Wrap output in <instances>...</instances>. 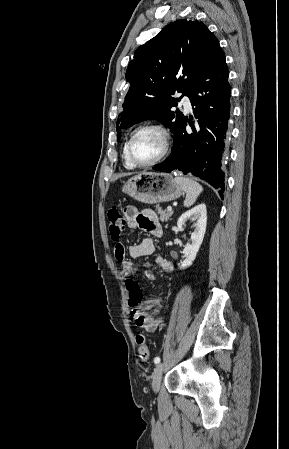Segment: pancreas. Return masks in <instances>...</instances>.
I'll return each instance as SVG.
<instances>
[{"label": "pancreas", "instance_id": "obj_1", "mask_svg": "<svg viewBox=\"0 0 289 449\" xmlns=\"http://www.w3.org/2000/svg\"><path fill=\"white\" fill-rule=\"evenodd\" d=\"M155 210L158 212L161 221H168L172 215V212L164 211L161 207H156Z\"/></svg>", "mask_w": 289, "mask_h": 449}]
</instances>
